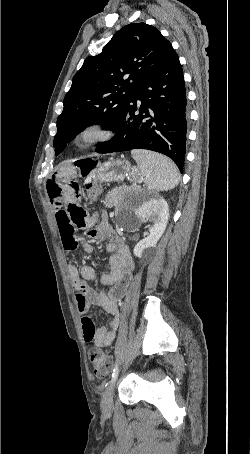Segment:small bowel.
I'll return each mask as SVG.
<instances>
[{"label": "small bowel", "instance_id": "small-bowel-1", "mask_svg": "<svg viewBox=\"0 0 250 454\" xmlns=\"http://www.w3.org/2000/svg\"><path fill=\"white\" fill-rule=\"evenodd\" d=\"M47 191L55 212L61 239L66 250L72 251L79 244L90 253L92 245L77 234L86 229V236L106 240L110 254V272L97 277L90 266H68L74 288L78 311L81 315L83 338L102 348L112 344L119 325V303L125 296L133 274V262L127 246L112 231L106 217L97 223V214H88L80 205L81 185L66 174H57L47 182ZM87 281L95 282L89 286ZM108 287V289H106ZM90 305H98L109 315L107 326L96 328L88 316Z\"/></svg>", "mask_w": 250, "mask_h": 454}]
</instances>
